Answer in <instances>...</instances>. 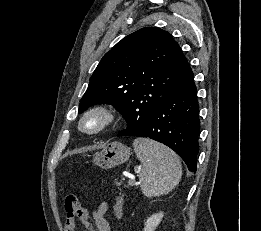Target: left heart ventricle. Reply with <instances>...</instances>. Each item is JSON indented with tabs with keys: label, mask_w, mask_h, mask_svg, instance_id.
<instances>
[{
	"label": "left heart ventricle",
	"mask_w": 261,
	"mask_h": 231,
	"mask_svg": "<svg viewBox=\"0 0 261 231\" xmlns=\"http://www.w3.org/2000/svg\"><path fill=\"white\" fill-rule=\"evenodd\" d=\"M97 124L96 119L89 120L88 122L85 123L86 128H93Z\"/></svg>",
	"instance_id": "1"
}]
</instances>
